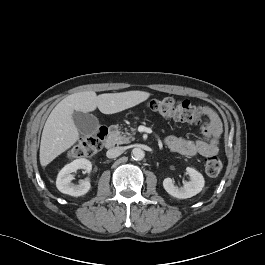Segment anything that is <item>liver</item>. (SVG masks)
Masks as SVG:
<instances>
[{"instance_id":"obj_1","label":"liver","mask_w":265,"mask_h":265,"mask_svg":"<svg viewBox=\"0 0 265 265\" xmlns=\"http://www.w3.org/2000/svg\"><path fill=\"white\" fill-rule=\"evenodd\" d=\"M150 97L144 91H127L96 95L94 91L71 94L60 101L44 125L40 143V164L47 166L79 139L72 118L74 111L88 113L98 108L104 114H114L134 107Z\"/></svg>"}]
</instances>
